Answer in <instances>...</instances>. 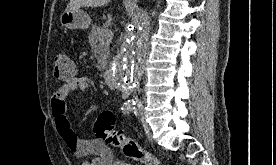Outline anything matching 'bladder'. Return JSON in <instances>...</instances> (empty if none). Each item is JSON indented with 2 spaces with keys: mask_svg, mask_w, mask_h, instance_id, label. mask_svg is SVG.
Wrapping results in <instances>:
<instances>
[{
  "mask_svg": "<svg viewBox=\"0 0 276 165\" xmlns=\"http://www.w3.org/2000/svg\"><path fill=\"white\" fill-rule=\"evenodd\" d=\"M114 165H138V164L125 162V161H119V162H116Z\"/></svg>",
  "mask_w": 276,
  "mask_h": 165,
  "instance_id": "bladder-1",
  "label": "bladder"
}]
</instances>
